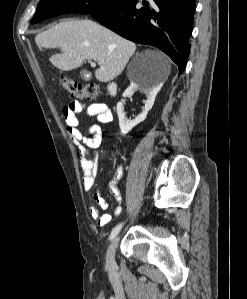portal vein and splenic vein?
I'll list each match as a JSON object with an SVG mask.
<instances>
[{
	"mask_svg": "<svg viewBox=\"0 0 247 299\" xmlns=\"http://www.w3.org/2000/svg\"><path fill=\"white\" fill-rule=\"evenodd\" d=\"M91 66L92 67H95L96 66V63L95 62H91ZM102 69H104L103 67H101Z\"/></svg>",
	"mask_w": 247,
	"mask_h": 299,
	"instance_id": "obj_1",
	"label": "portal vein and splenic vein"
}]
</instances>
